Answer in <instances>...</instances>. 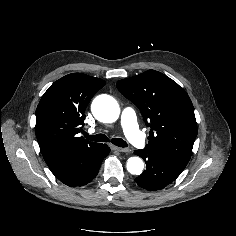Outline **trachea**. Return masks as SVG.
Here are the masks:
<instances>
[{"label": "trachea", "mask_w": 236, "mask_h": 236, "mask_svg": "<svg viewBox=\"0 0 236 236\" xmlns=\"http://www.w3.org/2000/svg\"><path fill=\"white\" fill-rule=\"evenodd\" d=\"M84 136L88 140H91V141H96V142H108L109 141L108 137L104 134L89 135V134L85 133ZM111 142H112V144H114L118 147H127V143L121 138H112Z\"/></svg>", "instance_id": "3493384b"}]
</instances>
